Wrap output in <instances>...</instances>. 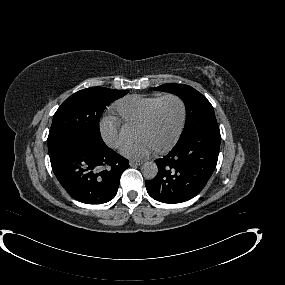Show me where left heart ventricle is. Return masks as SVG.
Instances as JSON below:
<instances>
[{
  "instance_id": "left-heart-ventricle-1",
  "label": "left heart ventricle",
  "mask_w": 285,
  "mask_h": 285,
  "mask_svg": "<svg viewBox=\"0 0 285 285\" xmlns=\"http://www.w3.org/2000/svg\"><path fill=\"white\" fill-rule=\"evenodd\" d=\"M180 117V105L175 100L165 101L154 123L145 129H138L137 136L145 138L154 146L165 143L174 133Z\"/></svg>"
}]
</instances>
